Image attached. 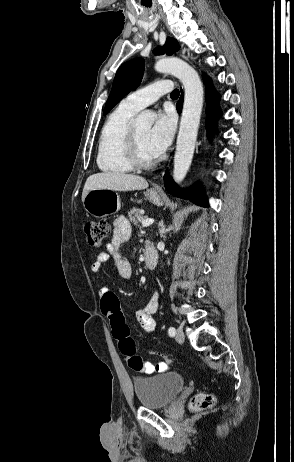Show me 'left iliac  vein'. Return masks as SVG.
<instances>
[{
    "instance_id": "obj_1",
    "label": "left iliac vein",
    "mask_w": 294,
    "mask_h": 462,
    "mask_svg": "<svg viewBox=\"0 0 294 462\" xmlns=\"http://www.w3.org/2000/svg\"><path fill=\"white\" fill-rule=\"evenodd\" d=\"M175 340L178 342V343H183L184 340H185V336H184V332H183V329L181 327H178L177 330H176V333H175Z\"/></svg>"
}]
</instances>
